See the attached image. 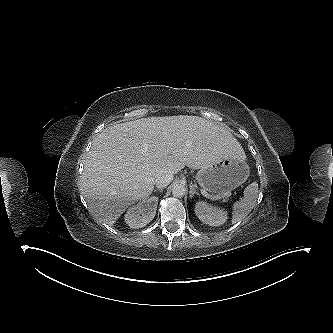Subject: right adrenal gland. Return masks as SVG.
Here are the masks:
<instances>
[{
  "label": "right adrenal gland",
  "mask_w": 333,
  "mask_h": 333,
  "mask_svg": "<svg viewBox=\"0 0 333 333\" xmlns=\"http://www.w3.org/2000/svg\"><path fill=\"white\" fill-rule=\"evenodd\" d=\"M156 191L163 192V188L154 189V192Z\"/></svg>",
  "instance_id": "2a0ac1e0"
}]
</instances>
